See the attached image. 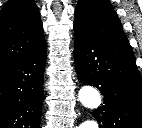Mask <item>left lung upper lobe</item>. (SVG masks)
<instances>
[{"label": "left lung upper lobe", "instance_id": "5c2ea615", "mask_svg": "<svg viewBox=\"0 0 142 128\" xmlns=\"http://www.w3.org/2000/svg\"><path fill=\"white\" fill-rule=\"evenodd\" d=\"M74 26L106 42L131 49L121 22L108 0H79Z\"/></svg>", "mask_w": 142, "mask_h": 128}]
</instances>
